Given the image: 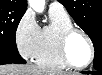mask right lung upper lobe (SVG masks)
Masks as SVG:
<instances>
[{"label": "right lung upper lobe", "instance_id": "1", "mask_svg": "<svg viewBox=\"0 0 102 75\" xmlns=\"http://www.w3.org/2000/svg\"><path fill=\"white\" fill-rule=\"evenodd\" d=\"M0 8L26 11L27 0H0Z\"/></svg>", "mask_w": 102, "mask_h": 75}]
</instances>
